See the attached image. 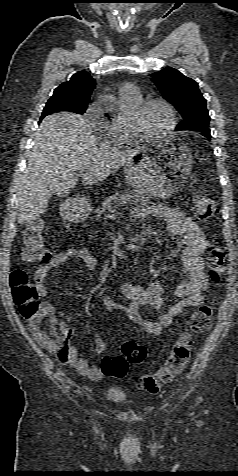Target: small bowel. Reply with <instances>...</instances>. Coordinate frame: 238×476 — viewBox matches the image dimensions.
Instances as JSON below:
<instances>
[{
	"label": "small bowel",
	"mask_w": 238,
	"mask_h": 476,
	"mask_svg": "<svg viewBox=\"0 0 238 476\" xmlns=\"http://www.w3.org/2000/svg\"><path fill=\"white\" fill-rule=\"evenodd\" d=\"M131 214L132 217L139 220H147L150 217L165 220L166 229L174 240V245L168 256L170 258L177 257L181 260L185 279L172 292L177 301L162 311L156 320L144 318L139 310L143 306H151L160 311L163 309L165 306V290L158 282L150 283L147 286H138L123 281L120 288L127 299V303L125 305L119 304L111 295H105L102 298V304L107 311L122 312L135 325L159 335L184 310L201 306L203 292L208 287V278L204 271L203 260L207 245L203 231L196 221L178 209L164 204H156L150 208L136 207ZM70 258H78L90 271L97 267L96 259L85 247L67 249L56 254L39 266L34 273L35 287L39 297L44 298L48 295L47 276ZM51 326L65 325L57 318H52ZM94 345L97 353L103 354L105 352L106 343L98 333L94 335ZM56 355L61 364L70 365L78 373L92 380H100L104 375L101 366H91L86 358L79 356L76 346H68L64 353Z\"/></svg>",
	"instance_id": "1"
}]
</instances>
